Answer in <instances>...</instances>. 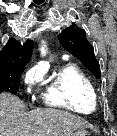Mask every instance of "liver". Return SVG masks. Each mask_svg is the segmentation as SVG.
Wrapping results in <instances>:
<instances>
[{"label": "liver", "instance_id": "6515ba94", "mask_svg": "<svg viewBox=\"0 0 117 136\" xmlns=\"http://www.w3.org/2000/svg\"><path fill=\"white\" fill-rule=\"evenodd\" d=\"M86 127L80 117L60 109L27 111L11 93L0 94V136H70Z\"/></svg>", "mask_w": 117, "mask_h": 136}]
</instances>
